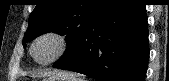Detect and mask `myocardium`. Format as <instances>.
Returning a JSON list of instances; mask_svg holds the SVG:
<instances>
[{
	"label": "myocardium",
	"instance_id": "obj_1",
	"mask_svg": "<svg viewBox=\"0 0 169 81\" xmlns=\"http://www.w3.org/2000/svg\"><path fill=\"white\" fill-rule=\"evenodd\" d=\"M43 38H52L58 42V50L56 54L47 61H39L33 55V50L36 43ZM68 47H69V39L65 34L60 33L58 31H47L41 33L32 41L30 46V55L36 64L40 66H48L58 61L66 53Z\"/></svg>",
	"mask_w": 169,
	"mask_h": 81
}]
</instances>
